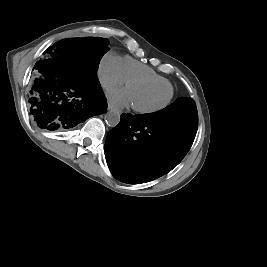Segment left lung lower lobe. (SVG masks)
Here are the masks:
<instances>
[{"mask_svg": "<svg viewBox=\"0 0 267 267\" xmlns=\"http://www.w3.org/2000/svg\"><path fill=\"white\" fill-rule=\"evenodd\" d=\"M197 128L198 120L183 116L122 114L106 138L108 167L124 183L154 180L181 162Z\"/></svg>", "mask_w": 267, "mask_h": 267, "instance_id": "0a47b994", "label": "left lung lower lobe"}]
</instances>
